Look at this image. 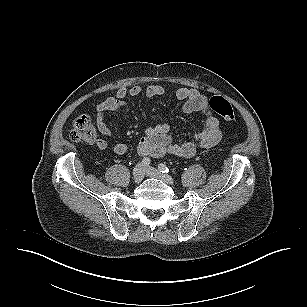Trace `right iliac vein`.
<instances>
[{
	"instance_id": "right-iliac-vein-1",
	"label": "right iliac vein",
	"mask_w": 307,
	"mask_h": 307,
	"mask_svg": "<svg viewBox=\"0 0 307 307\" xmlns=\"http://www.w3.org/2000/svg\"><path fill=\"white\" fill-rule=\"evenodd\" d=\"M133 178L136 183H140L144 178V166L139 163L133 170Z\"/></svg>"
}]
</instances>
